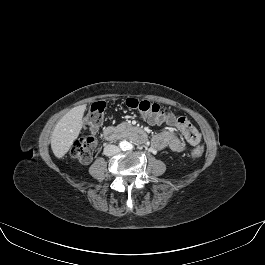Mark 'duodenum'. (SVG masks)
<instances>
[{"label": "duodenum", "instance_id": "obj_1", "mask_svg": "<svg viewBox=\"0 0 265 265\" xmlns=\"http://www.w3.org/2000/svg\"><path fill=\"white\" fill-rule=\"evenodd\" d=\"M103 138L108 142L116 139H132L142 144L147 142L145 131L136 126L130 128L108 126L103 130Z\"/></svg>", "mask_w": 265, "mask_h": 265}]
</instances>
